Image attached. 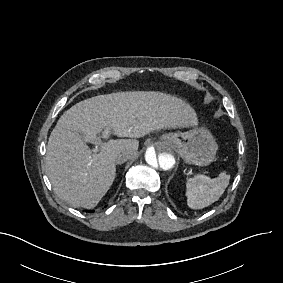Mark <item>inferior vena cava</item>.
I'll return each instance as SVG.
<instances>
[{"label": "inferior vena cava", "instance_id": "obj_1", "mask_svg": "<svg viewBox=\"0 0 283 283\" xmlns=\"http://www.w3.org/2000/svg\"><path fill=\"white\" fill-rule=\"evenodd\" d=\"M136 155V151L133 149H120L115 154V161L118 164H123L128 160H131Z\"/></svg>", "mask_w": 283, "mask_h": 283}]
</instances>
